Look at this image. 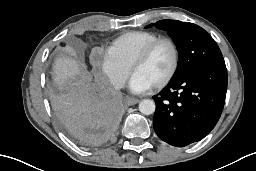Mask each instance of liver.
Wrapping results in <instances>:
<instances>
[{"label":"liver","mask_w":256,"mask_h":171,"mask_svg":"<svg viewBox=\"0 0 256 171\" xmlns=\"http://www.w3.org/2000/svg\"><path fill=\"white\" fill-rule=\"evenodd\" d=\"M80 63L72 56L60 55L53 65V80L56 85L63 86L69 80L81 75Z\"/></svg>","instance_id":"liver-1"}]
</instances>
